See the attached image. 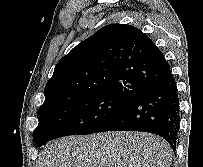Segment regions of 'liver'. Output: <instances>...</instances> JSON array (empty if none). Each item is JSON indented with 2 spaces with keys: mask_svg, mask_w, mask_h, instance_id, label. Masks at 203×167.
<instances>
[{
  "mask_svg": "<svg viewBox=\"0 0 203 167\" xmlns=\"http://www.w3.org/2000/svg\"><path fill=\"white\" fill-rule=\"evenodd\" d=\"M171 147L143 132L68 136L46 145L37 167H170Z\"/></svg>",
  "mask_w": 203,
  "mask_h": 167,
  "instance_id": "obj_1",
  "label": "liver"
}]
</instances>
